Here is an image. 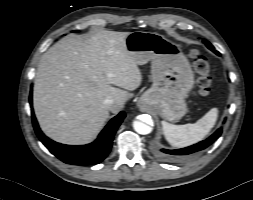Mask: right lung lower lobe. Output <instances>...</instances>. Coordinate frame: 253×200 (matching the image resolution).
Wrapping results in <instances>:
<instances>
[{
    "mask_svg": "<svg viewBox=\"0 0 253 200\" xmlns=\"http://www.w3.org/2000/svg\"><path fill=\"white\" fill-rule=\"evenodd\" d=\"M29 101L32 104L31 94ZM124 118L125 113L123 111L112 118L93 143L82 146H71L57 143L46 137L40 130L32 110L33 126L41 142L57 158L67 164L75 165H92L103 161L111 150L115 132Z\"/></svg>",
    "mask_w": 253,
    "mask_h": 200,
    "instance_id": "98d812e1",
    "label": "right lung lower lobe"
}]
</instances>
